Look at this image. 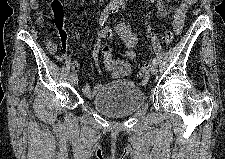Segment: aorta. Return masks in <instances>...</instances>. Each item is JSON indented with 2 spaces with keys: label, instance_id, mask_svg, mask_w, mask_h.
Returning a JSON list of instances; mask_svg holds the SVG:
<instances>
[{
  "label": "aorta",
  "instance_id": "762f6f07",
  "mask_svg": "<svg viewBox=\"0 0 225 159\" xmlns=\"http://www.w3.org/2000/svg\"><path fill=\"white\" fill-rule=\"evenodd\" d=\"M121 0H111L110 1V6L112 7H119L121 5Z\"/></svg>",
  "mask_w": 225,
  "mask_h": 159
}]
</instances>
